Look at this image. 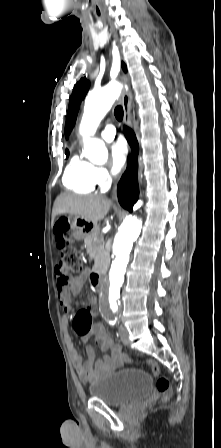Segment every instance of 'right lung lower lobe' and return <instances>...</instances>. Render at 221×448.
I'll use <instances>...</instances> for the list:
<instances>
[{"instance_id":"1","label":"right lung lower lobe","mask_w":221,"mask_h":448,"mask_svg":"<svg viewBox=\"0 0 221 448\" xmlns=\"http://www.w3.org/2000/svg\"><path fill=\"white\" fill-rule=\"evenodd\" d=\"M126 138L132 147V155L128 160L127 170L123 174L118 184V198L122 207L129 210H133V205L136 203L139 197L138 187V143L135 134L131 129L125 128Z\"/></svg>"}]
</instances>
